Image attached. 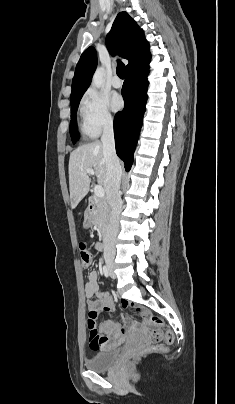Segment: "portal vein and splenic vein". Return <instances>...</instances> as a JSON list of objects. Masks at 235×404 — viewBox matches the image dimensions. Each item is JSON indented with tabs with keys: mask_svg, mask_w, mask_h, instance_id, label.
I'll return each instance as SVG.
<instances>
[{
	"mask_svg": "<svg viewBox=\"0 0 235 404\" xmlns=\"http://www.w3.org/2000/svg\"><path fill=\"white\" fill-rule=\"evenodd\" d=\"M86 172H87V174L92 175V176L95 174L94 170L91 168L86 169ZM94 193L98 198H102L105 195L104 189L101 185H96L94 187Z\"/></svg>",
	"mask_w": 235,
	"mask_h": 404,
	"instance_id": "1",
	"label": "portal vein and splenic vein"
}]
</instances>
